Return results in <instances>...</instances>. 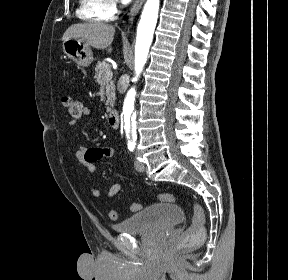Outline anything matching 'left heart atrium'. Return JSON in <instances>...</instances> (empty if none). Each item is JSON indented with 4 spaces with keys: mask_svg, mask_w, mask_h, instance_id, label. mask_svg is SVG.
Returning <instances> with one entry per match:
<instances>
[{
    "mask_svg": "<svg viewBox=\"0 0 288 280\" xmlns=\"http://www.w3.org/2000/svg\"><path fill=\"white\" fill-rule=\"evenodd\" d=\"M124 3H128L130 2L131 0H122Z\"/></svg>",
    "mask_w": 288,
    "mask_h": 280,
    "instance_id": "39dd6f15",
    "label": "left heart atrium"
}]
</instances>
